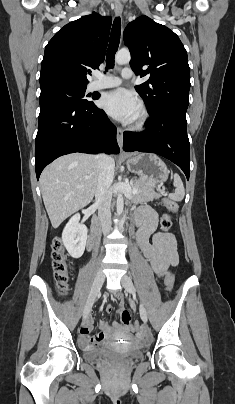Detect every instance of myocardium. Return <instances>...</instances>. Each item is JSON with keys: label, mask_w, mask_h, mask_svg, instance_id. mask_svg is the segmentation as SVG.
I'll use <instances>...</instances> for the list:
<instances>
[{"label": "myocardium", "mask_w": 235, "mask_h": 404, "mask_svg": "<svg viewBox=\"0 0 235 404\" xmlns=\"http://www.w3.org/2000/svg\"><path fill=\"white\" fill-rule=\"evenodd\" d=\"M148 119H149L148 111L145 107L142 106L140 107L138 115L130 124V128L136 131L143 130L148 123Z\"/></svg>", "instance_id": "obj_1"}]
</instances>
